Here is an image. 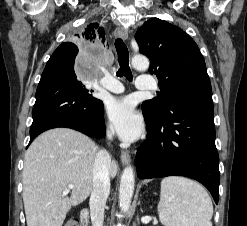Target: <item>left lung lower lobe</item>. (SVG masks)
<instances>
[{
  "label": "left lung lower lobe",
  "instance_id": "obj_1",
  "mask_svg": "<svg viewBox=\"0 0 247 226\" xmlns=\"http://www.w3.org/2000/svg\"><path fill=\"white\" fill-rule=\"evenodd\" d=\"M144 118L148 137L137 152V176L193 178L217 204L220 173L212 96H190L176 102L161 119Z\"/></svg>",
  "mask_w": 247,
  "mask_h": 226
}]
</instances>
